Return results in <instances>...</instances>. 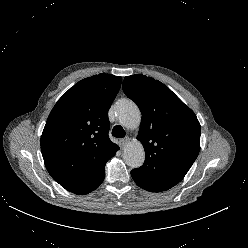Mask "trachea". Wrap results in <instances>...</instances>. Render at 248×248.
Segmentation results:
<instances>
[{
	"label": "trachea",
	"mask_w": 248,
	"mask_h": 248,
	"mask_svg": "<svg viewBox=\"0 0 248 248\" xmlns=\"http://www.w3.org/2000/svg\"><path fill=\"white\" fill-rule=\"evenodd\" d=\"M112 135L117 138H123L125 137V131L120 125L114 126L112 129Z\"/></svg>",
	"instance_id": "1"
}]
</instances>
